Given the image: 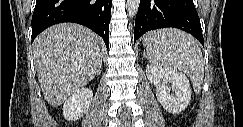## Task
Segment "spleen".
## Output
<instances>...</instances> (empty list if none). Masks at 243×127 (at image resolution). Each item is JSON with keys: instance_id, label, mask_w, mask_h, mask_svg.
Returning a JSON list of instances; mask_svg holds the SVG:
<instances>
[{"instance_id": "obj_1", "label": "spleen", "mask_w": 243, "mask_h": 127, "mask_svg": "<svg viewBox=\"0 0 243 127\" xmlns=\"http://www.w3.org/2000/svg\"><path fill=\"white\" fill-rule=\"evenodd\" d=\"M147 58L152 65L186 73L199 93L204 78V61L197 41L177 29H164L145 36Z\"/></svg>"}]
</instances>
